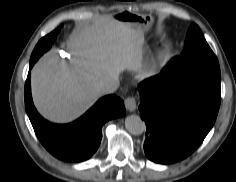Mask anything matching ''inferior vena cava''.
<instances>
[{"label": "inferior vena cava", "mask_w": 236, "mask_h": 182, "mask_svg": "<svg viewBox=\"0 0 236 182\" xmlns=\"http://www.w3.org/2000/svg\"><path fill=\"white\" fill-rule=\"evenodd\" d=\"M119 86L118 78L105 81L99 88L101 94H110L117 90Z\"/></svg>", "instance_id": "602c4592"}]
</instances>
